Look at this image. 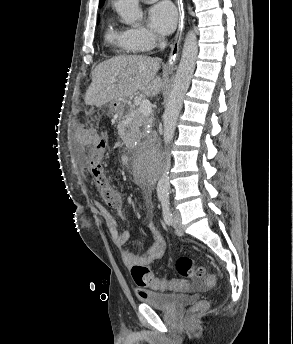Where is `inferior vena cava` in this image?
Returning <instances> with one entry per match:
<instances>
[{
    "label": "inferior vena cava",
    "instance_id": "1",
    "mask_svg": "<svg viewBox=\"0 0 293 344\" xmlns=\"http://www.w3.org/2000/svg\"><path fill=\"white\" fill-rule=\"evenodd\" d=\"M167 45V42L165 41V39L163 37H159V47L161 49H164Z\"/></svg>",
    "mask_w": 293,
    "mask_h": 344
}]
</instances>
